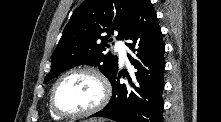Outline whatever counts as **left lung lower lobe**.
Wrapping results in <instances>:
<instances>
[{"label": "left lung lower lobe", "mask_w": 221, "mask_h": 122, "mask_svg": "<svg viewBox=\"0 0 221 122\" xmlns=\"http://www.w3.org/2000/svg\"><path fill=\"white\" fill-rule=\"evenodd\" d=\"M125 39L126 45L136 52L137 59L128 54L137 70L133 89L120 84L121 73L111 80L112 98L99 112L92 116L105 117L117 122H162L165 70V46L157 16L150 0H139L133 22Z\"/></svg>", "instance_id": "obj_1"}]
</instances>
